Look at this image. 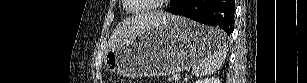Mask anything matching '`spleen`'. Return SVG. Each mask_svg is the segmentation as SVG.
<instances>
[{"instance_id":"3e777b00","label":"spleen","mask_w":307,"mask_h":83,"mask_svg":"<svg viewBox=\"0 0 307 83\" xmlns=\"http://www.w3.org/2000/svg\"><path fill=\"white\" fill-rule=\"evenodd\" d=\"M212 44L208 54L192 68V75L199 77L213 74L225 61L228 46L224 33L219 29L210 28Z\"/></svg>"}]
</instances>
